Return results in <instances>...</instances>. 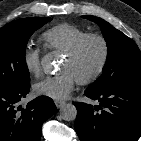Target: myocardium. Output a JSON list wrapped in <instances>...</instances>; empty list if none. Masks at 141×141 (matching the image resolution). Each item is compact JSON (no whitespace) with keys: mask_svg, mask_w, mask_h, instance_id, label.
<instances>
[{"mask_svg":"<svg viewBox=\"0 0 141 141\" xmlns=\"http://www.w3.org/2000/svg\"><path fill=\"white\" fill-rule=\"evenodd\" d=\"M92 40L99 42V44L101 45L102 49L101 58L95 69L90 74L77 79V82L81 85H88L95 82L104 72L110 54L109 43L102 34L86 33L67 52H65L66 57H68L71 60H74L80 55L85 45Z\"/></svg>","mask_w":141,"mask_h":141,"instance_id":"1","label":"myocardium"}]
</instances>
